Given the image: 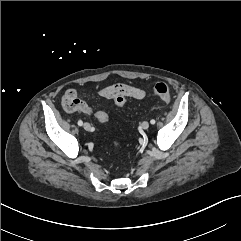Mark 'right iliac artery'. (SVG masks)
Segmentation results:
<instances>
[{"label":"right iliac artery","instance_id":"right-iliac-artery-1","mask_svg":"<svg viewBox=\"0 0 241 241\" xmlns=\"http://www.w3.org/2000/svg\"><path fill=\"white\" fill-rule=\"evenodd\" d=\"M78 125H79V126H82V125H83L82 120H79V121H78Z\"/></svg>","mask_w":241,"mask_h":241}]
</instances>
